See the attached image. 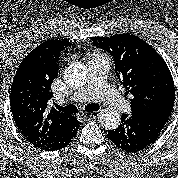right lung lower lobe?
Listing matches in <instances>:
<instances>
[{
    "mask_svg": "<svg viewBox=\"0 0 178 178\" xmlns=\"http://www.w3.org/2000/svg\"><path fill=\"white\" fill-rule=\"evenodd\" d=\"M81 123L77 120L71 128H69L62 135L58 136L55 140L49 144L41 147L40 149L45 151H55L66 147L77 133L78 127Z\"/></svg>",
    "mask_w": 178,
    "mask_h": 178,
    "instance_id": "right-lung-lower-lobe-1",
    "label": "right lung lower lobe"
}]
</instances>
